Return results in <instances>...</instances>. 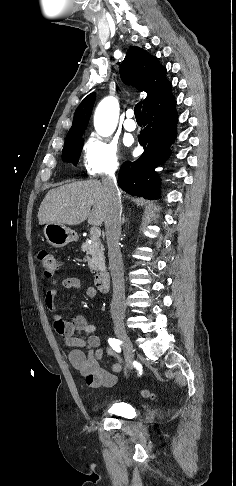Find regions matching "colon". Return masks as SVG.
<instances>
[{"instance_id":"colon-1","label":"colon","mask_w":236,"mask_h":486,"mask_svg":"<svg viewBox=\"0 0 236 486\" xmlns=\"http://www.w3.org/2000/svg\"><path fill=\"white\" fill-rule=\"evenodd\" d=\"M39 261L47 277H53L58 271L59 262L55 255L47 250H42L38 254ZM142 396L149 399H154L155 394L149 390H142Z\"/></svg>"}]
</instances>
